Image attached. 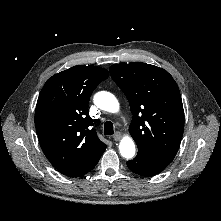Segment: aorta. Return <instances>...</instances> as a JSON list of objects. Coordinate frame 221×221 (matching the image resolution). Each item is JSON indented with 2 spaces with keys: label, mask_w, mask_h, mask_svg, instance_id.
I'll return each instance as SVG.
<instances>
[{
  "label": "aorta",
  "mask_w": 221,
  "mask_h": 221,
  "mask_svg": "<svg viewBox=\"0 0 221 221\" xmlns=\"http://www.w3.org/2000/svg\"><path fill=\"white\" fill-rule=\"evenodd\" d=\"M94 103L101 110L117 113L119 111L120 105L117 98L110 92L100 91L94 95ZM119 150L122 157L131 159L135 155V144L130 136H125L120 141Z\"/></svg>",
  "instance_id": "aorta-1"
}]
</instances>
